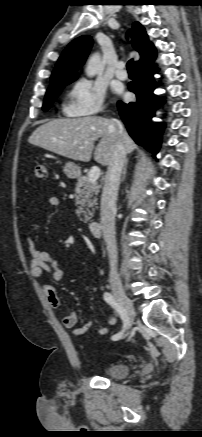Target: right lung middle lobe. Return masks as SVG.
I'll use <instances>...</instances> for the list:
<instances>
[{
  "mask_svg": "<svg viewBox=\"0 0 202 437\" xmlns=\"http://www.w3.org/2000/svg\"><path fill=\"white\" fill-rule=\"evenodd\" d=\"M77 78L62 80L59 82H56L49 86L44 103H43V110L47 111L50 106L52 105L53 101L57 98V96L61 93L62 89L67 85L76 80Z\"/></svg>",
  "mask_w": 202,
  "mask_h": 437,
  "instance_id": "dd1d6c3e",
  "label": "right lung middle lobe"
}]
</instances>
